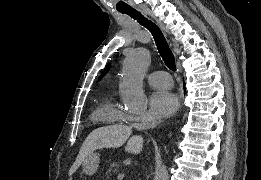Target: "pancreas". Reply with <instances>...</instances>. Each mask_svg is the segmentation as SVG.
Masks as SVG:
<instances>
[{
  "instance_id": "1",
  "label": "pancreas",
  "mask_w": 261,
  "mask_h": 180,
  "mask_svg": "<svg viewBox=\"0 0 261 180\" xmlns=\"http://www.w3.org/2000/svg\"><path fill=\"white\" fill-rule=\"evenodd\" d=\"M117 169H122L121 163L116 162V159H111V162H108L107 170L106 173L104 174V177L112 178L114 173H117Z\"/></svg>"
}]
</instances>
